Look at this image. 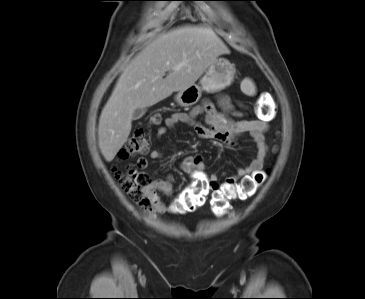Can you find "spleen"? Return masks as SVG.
Returning <instances> with one entry per match:
<instances>
[{
    "mask_svg": "<svg viewBox=\"0 0 365 299\" xmlns=\"http://www.w3.org/2000/svg\"><path fill=\"white\" fill-rule=\"evenodd\" d=\"M241 86L247 95H249V96L255 95V85L253 84V82L250 79H248V78L245 79L242 82Z\"/></svg>",
    "mask_w": 365,
    "mask_h": 299,
    "instance_id": "1",
    "label": "spleen"
}]
</instances>
